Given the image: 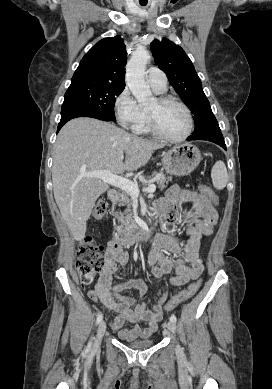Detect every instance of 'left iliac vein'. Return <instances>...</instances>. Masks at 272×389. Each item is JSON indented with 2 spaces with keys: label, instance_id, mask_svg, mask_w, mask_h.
<instances>
[{
  "label": "left iliac vein",
  "instance_id": "left-iliac-vein-1",
  "mask_svg": "<svg viewBox=\"0 0 272 389\" xmlns=\"http://www.w3.org/2000/svg\"><path fill=\"white\" fill-rule=\"evenodd\" d=\"M167 328H168L169 332H171V333H173V334L176 332V325H175V323L172 322V321H169V322L167 323Z\"/></svg>",
  "mask_w": 272,
  "mask_h": 389
}]
</instances>
